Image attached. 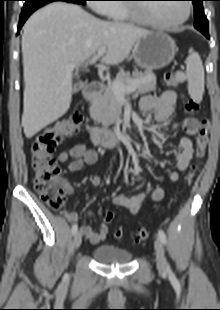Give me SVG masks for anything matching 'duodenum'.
I'll return each mask as SVG.
<instances>
[{"label": "duodenum", "mask_w": 220, "mask_h": 310, "mask_svg": "<svg viewBox=\"0 0 220 310\" xmlns=\"http://www.w3.org/2000/svg\"><path fill=\"white\" fill-rule=\"evenodd\" d=\"M103 84L100 81H92L85 90L87 100L93 102L102 91ZM90 139L95 145L106 148H114L122 144L125 135L121 132L110 131L104 128H92L89 132Z\"/></svg>", "instance_id": "410a0bca"}]
</instances>
